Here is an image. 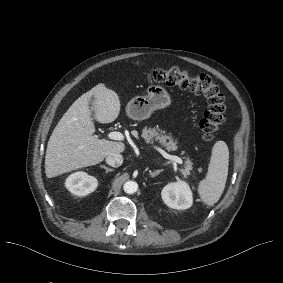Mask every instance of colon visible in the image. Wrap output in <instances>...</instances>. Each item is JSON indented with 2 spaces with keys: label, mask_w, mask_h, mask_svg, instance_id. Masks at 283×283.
<instances>
[{
  "label": "colon",
  "mask_w": 283,
  "mask_h": 283,
  "mask_svg": "<svg viewBox=\"0 0 283 283\" xmlns=\"http://www.w3.org/2000/svg\"><path fill=\"white\" fill-rule=\"evenodd\" d=\"M148 81L189 90L207 100V109L199 123L202 138L206 141L214 139L215 134L225 122V98L222 91L209 75L191 74L178 67L156 69L147 73Z\"/></svg>",
  "instance_id": "1"
}]
</instances>
